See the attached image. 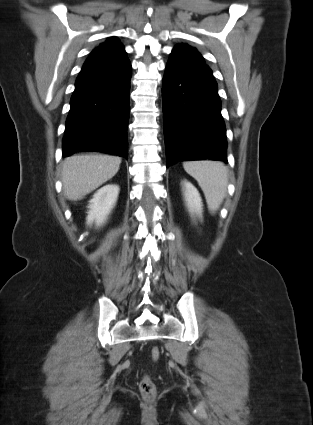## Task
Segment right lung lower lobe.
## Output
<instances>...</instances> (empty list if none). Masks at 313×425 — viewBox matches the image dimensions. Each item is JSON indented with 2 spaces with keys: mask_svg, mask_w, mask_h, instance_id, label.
<instances>
[{
  "mask_svg": "<svg viewBox=\"0 0 313 425\" xmlns=\"http://www.w3.org/2000/svg\"><path fill=\"white\" fill-rule=\"evenodd\" d=\"M131 64L128 58H88L70 101L63 157L104 152L127 158Z\"/></svg>",
  "mask_w": 313,
  "mask_h": 425,
  "instance_id": "98d812e1",
  "label": "right lung lower lobe"
}]
</instances>
